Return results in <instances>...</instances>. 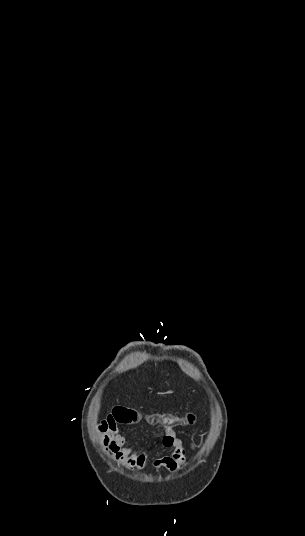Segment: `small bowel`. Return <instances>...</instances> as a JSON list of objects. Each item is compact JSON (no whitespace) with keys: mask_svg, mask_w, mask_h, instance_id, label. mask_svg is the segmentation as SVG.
<instances>
[{"mask_svg":"<svg viewBox=\"0 0 305 536\" xmlns=\"http://www.w3.org/2000/svg\"><path fill=\"white\" fill-rule=\"evenodd\" d=\"M103 420L96 425L98 441L103 450L110 453L112 458L124 467L133 471H141L148 460L149 451L140 450L129 444L128 437L120 435L121 430L113 420L112 412L107 411L103 415ZM161 431L162 445L171 450L169 456L156 458L152 461L153 469H167L171 472L182 470L186 466L188 449L194 450L195 444L190 443L188 447L179 438V432L174 427H156Z\"/></svg>","mask_w":305,"mask_h":536,"instance_id":"obj_1","label":"small bowel"}]
</instances>
